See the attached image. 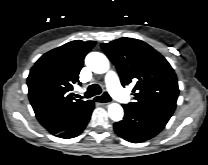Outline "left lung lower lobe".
<instances>
[{
    "mask_svg": "<svg viewBox=\"0 0 208 165\" xmlns=\"http://www.w3.org/2000/svg\"><path fill=\"white\" fill-rule=\"evenodd\" d=\"M125 115L122 121L114 124L115 132L129 142H143L157 135L167 124L171 114L137 110L122 105Z\"/></svg>",
    "mask_w": 208,
    "mask_h": 165,
    "instance_id": "left-lung-lower-lobe-1",
    "label": "left lung lower lobe"
}]
</instances>
